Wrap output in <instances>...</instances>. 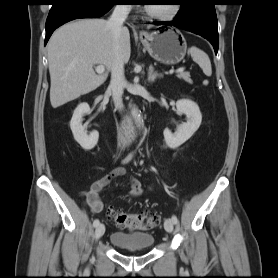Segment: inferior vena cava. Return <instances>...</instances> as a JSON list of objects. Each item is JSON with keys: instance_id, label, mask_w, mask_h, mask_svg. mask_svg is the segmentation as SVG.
Instances as JSON below:
<instances>
[{"instance_id": "1", "label": "inferior vena cava", "mask_w": 278, "mask_h": 278, "mask_svg": "<svg viewBox=\"0 0 278 278\" xmlns=\"http://www.w3.org/2000/svg\"><path fill=\"white\" fill-rule=\"evenodd\" d=\"M131 9L130 5H116L110 19L107 24L111 29L114 48H115V63L111 70V82L109 85V90L112 92V98L115 107L121 110L123 108L122 94L124 87L126 85V80L124 76V63L119 57V38L122 30L124 21L126 20L129 11Z\"/></svg>"}]
</instances>
